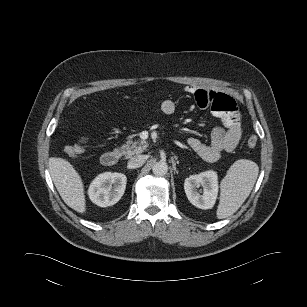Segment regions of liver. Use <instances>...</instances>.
I'll return each mask as SVG.
<instances>
[{
  "instance_id": "1",
  "label": "liver",
  "mask_w": 307,
  "mask_h": 307,
  "mask_svg": "<svg viewBox=\"0 0 307 307\" xmlns=\"http://www.w3.org/2000/svg\"><path fill=\"white\" fill-rule=\"evenodd\" d=\"M49 172L63 201L73 210L85 213L84 186L73 165L63 158L51 157L49 159Z\"/></svg>"
}]
</instances>
